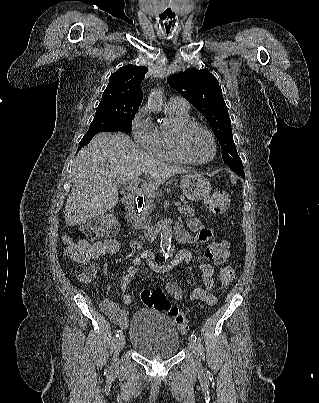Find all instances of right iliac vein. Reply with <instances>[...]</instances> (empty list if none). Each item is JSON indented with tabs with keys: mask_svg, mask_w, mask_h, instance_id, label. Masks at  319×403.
Returning <instances> with one entry per match:
<instances>
[{
	"mask_svg": "<svg viewBox=\"0 0 319 403\" xmlns=\"http://www.w3.org/2000/svg\"><path fill=\"white\" fill-rule=\"evenodd\" d=\"M125 345V336L122 334L116 340L115 347H114V355L112 361V367L114 370L118 368V354L123 349Z\"/></svg>",
	"mask_w": 319,
	"mask_h": 403,
	"instance_id": "63e3f726",
	"label": "right iliac vein"
}]
</instances>
